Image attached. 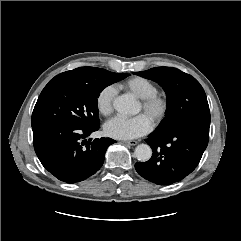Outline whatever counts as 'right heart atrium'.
<instances>
[{
    "mask_svg": "<svg viewBox=\"0 0 241 241\" xmlns=\"http://www.w3.org/2000/svg\"><path fill=\"white\" fill-rule=\"evenodd\" d=\"M116 95V89L113 85L105 86L97 95L96 106L104 116H109L113 112V102Z\"/></svg>",
    "mask_w": 241,
    "mask_h": 241,
    "instance_id": "obj_1",
    "label": "right heart atrium"
}]
</instances>
